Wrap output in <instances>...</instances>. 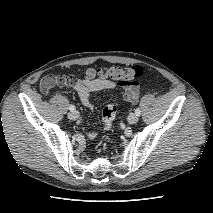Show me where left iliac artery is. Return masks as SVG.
<instances>
[{
  "mask_svg": "<svg viewBox=\"0 0 213 213\" xmlns=\"http://www.w3.org/2000/svg\"><path fill=\"white\" fill-rule=\"evenodd\" d=\"M135 114H136L137 116H140L141 111H140V109H139V108H137V109L135 110Z\"/></svg>",
  "mask_w": 213,
  "mask_h": 213,
  "instance_id": "1",
  "label": "left iliac artery"
}]
</instances>
